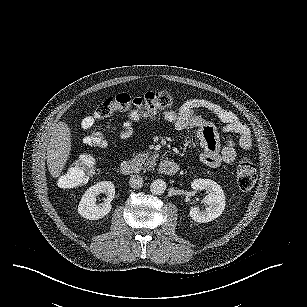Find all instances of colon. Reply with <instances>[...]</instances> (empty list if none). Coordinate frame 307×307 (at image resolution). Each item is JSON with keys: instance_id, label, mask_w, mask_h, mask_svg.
Instances as JSON below:
<instances>
[{"instance_id": "5ec220e1", "label": "colon", "mask_w": 307, "mask_h": 307, "mask_svg": "<svg viewBox=\"0 0 307 307\" xmlns=\"http://www.w3.org/2000/svg\"><path fill=\"white\" fill-rule=\"evenodd\" d=\"M173 96L169 91L148 92L141 97H133L126 93L117 94L104 99L95 109L93 114L83 120L85 127H91L96 119L106 118L115 112L135 109L153 112L158 109L170 108ZM84 142L90 147H105L107 138L100 130L87 134ZM97 172L95 159L88 154L82 155L71 162L60 174L58 183L63 188H73L85 184ZM236 178L238 186L248 191L252 189L257 180V171L252 160L243 157L237 166Z\"/></svg>"}]
</instances>
